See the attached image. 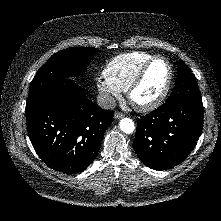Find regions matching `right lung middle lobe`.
<instances>
[{"label":"right lung middle lobe","instance_id":"obj_1","mask_svg":"<svg viewBox=\"0 0 221 221\" xmlns=\"http://www.w3.org/2000/svg\"><path fill=\"white\" fill-rule=\"evenodd\" d=\"M95 53L96 49L93 47L67 48L55 53L38 70L32 80L27 102L37 97L52 84L67 78V76L76 77L81 74L87 68Z\"/></svg>","mask_w":221,"mask_h":221}]
</instances>
